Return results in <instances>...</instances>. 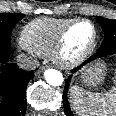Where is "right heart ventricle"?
<instances>
[{
  "mask_svg": "<svg viewBox=\"0 0 116 116\" xmlns=\"http://www.w3.org/2000/svg\"><path fill=\"white\" fill-rule=\"evenodd\" d=\"M72 20L71 18L33 20L22 29L20 44L38 56H49L52 53L58 34Z\"/></svg>",
  "mask_w": 116,
  "mask_h": 116,
  "instance_id": "1",
  "label": "right heart ventricle"
}]
</instances>
